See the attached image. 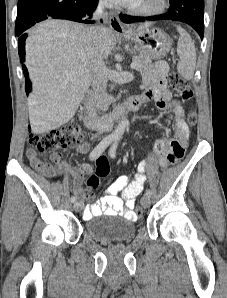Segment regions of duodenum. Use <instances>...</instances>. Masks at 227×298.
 <instances>
[{"mask_svg": "<svg viewBox=\"0 0 227 298\" xmlns=\"http://www.w3.org/2000/svg\"><path fill=\"white\" fill-rule=\"evenodd\" d=\"M143 103V99L136 96L116 107L110 114L99 116L96 113L93 98L89 97L85 104L84 123L91 130L108 131L115 122L122 119L127 113L139 110Z\"/></svg>", "mask_w": 227, "mask_h": 298, "instance_id": "obj_1", "label": "duodenum"}]
</instances>
